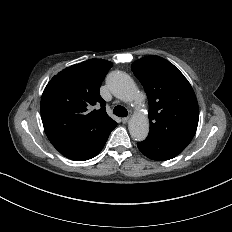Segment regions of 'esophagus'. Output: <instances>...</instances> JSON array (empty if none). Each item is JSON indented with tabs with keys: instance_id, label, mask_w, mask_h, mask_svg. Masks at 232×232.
I'll return each instance as SVG.
<instances>
[{
	"instance_id": "esophagus-1",
	"label": "esophagus",
	"mask_w": 232,
	"mask_h": 232,
	"mask_svg": "<svg viewBox=\"0 0 232 232\" xmlns=\"http://www.w3.org/2000/svg\"><path fill=\"white\" fill-rule=\"evenodd\" d=\"M128 120H129V117H123L121 119V121H122L123 124H126L128 122Z\"/></svg>"
}]
</instances>
